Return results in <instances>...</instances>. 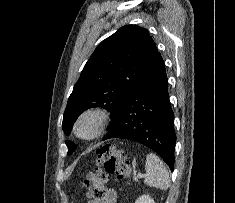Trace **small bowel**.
<instances>
[{
  "label": "small bowel",
  "instance_id": "c3829d8e",
  "mask_svg": "<svg viewBox=\"0 0 235 203\" xmlns=\"http://www.w3.org/2000/svg\"><path fill=\"white\" fill-rule=\"evenodd\" d=\"M117 202V192L115 189H107L105 195L100 199H93L88 203H116Z\"/></svg>",
  "mask_w": 235,
  "mask_h": 203
}]
</instances>
